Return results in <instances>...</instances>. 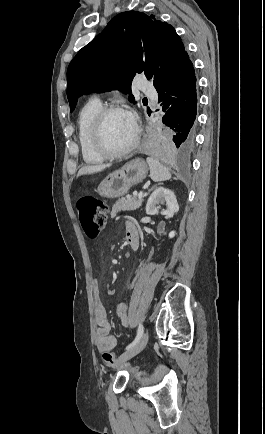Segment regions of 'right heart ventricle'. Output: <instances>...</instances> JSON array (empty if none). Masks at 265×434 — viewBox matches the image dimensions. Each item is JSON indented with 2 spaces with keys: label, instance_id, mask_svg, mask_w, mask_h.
I'll return each mask as SVG.
<instances>
[{
  "label": "right heart ventricle",
  "instance_id": "e07e8e85",
  "mask_svg": "<svg viewBox=\"0 0 265 434\" xmlns=\"http://www.w3.org/2000/svg\"><path fill=\"white\" fill-rule=\"evenodd\" d=\"M102 108L100 101L89 100L78 113L77 140L82 161L86 165H99L106 160L94 141L95 120Z\"/></svg>",
  "mask_w": 265,
  "mask_h": 434
}]
</instances>
